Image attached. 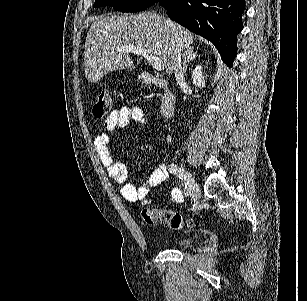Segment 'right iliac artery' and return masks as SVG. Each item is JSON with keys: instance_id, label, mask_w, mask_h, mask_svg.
Instances as JSON below:
<instances>
[{"instance_id": "82829eb1", "label": "right iliac artery", "mask_w": 307, "mask_h": 301, "mask_svg": "<svg viewBox=\"0 0 307 301\" xmlns=\"http://www.w3.org/2000/svg\"><path fill=\"white\" fill-rule=\"evenodd\" d=\"M169 170H170V173L179 176V178L185 182L186 194H189L188 189H187L188 188L187 172L183 168L175 165L174 163L169 165Z\"/></svg>"}]
</instances>
